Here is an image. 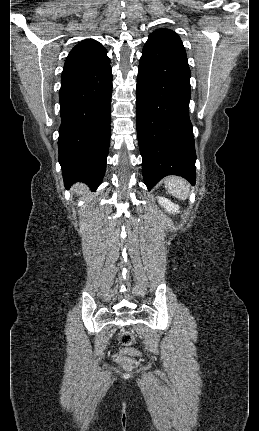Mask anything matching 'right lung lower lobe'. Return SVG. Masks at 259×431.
<instances>
[{
    "mask_svg": "<svg viewBox=\"0 0 259 431\" xmlns=\"http://www.w3.org/2000/svg\"><path fill=\"white\" fill-rule=\"evenodd\" d=\"M111 95L110 64L62 77L58 149L66 187L82 181L94 190L104 177L110 143Z\"/></svg>",
    "mask_w": 259,
    "mask_h": 431,
    "instance_id": "98d812e1",
    "label": "right lung lower lobe"
}]
</instances>
